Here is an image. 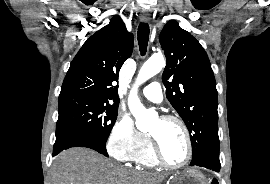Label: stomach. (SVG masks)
Masks as SVG:
<instances>
[{
	"mask_svg": "<svg viewBox=\"0 0 270 184\" xmlns=\"http://www.w3.org/2000/svg\"><path fill=\"white\" fill-rule=\"evenodd\" d=\"M170 184H208V182L201 172L186 169L173 175Z\"/></svg>",
	"mask_w": 270,
	"mask_h": 184,
	"instance_id": "stomach-1",
	"label": "stomach"
}]
</instances>
